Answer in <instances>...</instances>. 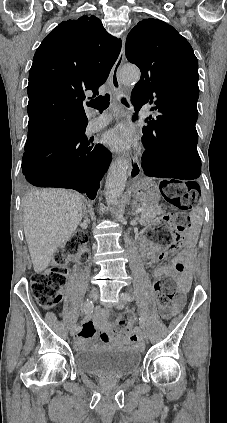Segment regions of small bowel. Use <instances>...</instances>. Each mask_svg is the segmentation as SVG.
<instances>
[{"mask_svg":"<svg viewBox=\"0 0 227 423\" xmlns=\"http://www.w3.org/2000/svg\"><path fill=\"white\" fill-rule=\"evenodd\" d=\"M167 254V251L159 244L151 243L148 245L147 251L144 253V259L149 266H155ZM187 254H183L174 259L171 267L160 265L154 268V276L156 278L164 277L171 274L175 269L180 274L179 282L182 288L187 286L189 280V272L187 270ZM184 304L182 298L176 299L172 304L167 306H159L160 314L165 319H170L179 313ZM109 311L106 309H96L92 314L88 315L78 331L75 342L78 347L86 346L95 336L96 330L102 331L101 339L104 343H112L117 337L113 334V327L108 322ZM140 333L135 330L129 334L126 339L129 342H136L139 339Z\"/></svg>","mask_w":227,"mask_h":423,"instance_id":"small-bowel-1","label":"small bowel"}]
</instances>
